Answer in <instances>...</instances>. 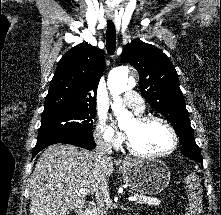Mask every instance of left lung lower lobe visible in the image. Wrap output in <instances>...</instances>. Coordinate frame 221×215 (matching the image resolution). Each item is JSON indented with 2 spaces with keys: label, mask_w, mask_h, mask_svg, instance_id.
<instances>
[{
  "label": "left lung lower lobe",
  "mask_w": 221,
  "mask_h": 215,
  "mask_svg": "<svg viewBox=\"0 0 221 215\" xmlns=\"http://www.w3.org/2000/svg\"><path fill=\"white\" fill-rule=\"evenodd\" d=\"M193 160L198 161V162H200V163L203 164V162H202V158H194Z\"/></svg>",
  "instance_id": "1"
}]
</instances>
